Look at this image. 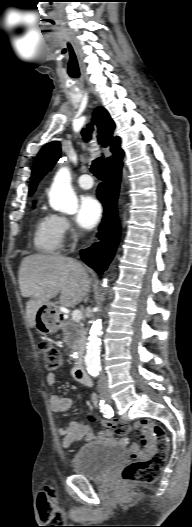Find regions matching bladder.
<instances>
[{
	"instance_id": "bladder-1",
	"label": "bladder",
	"mask_w": 192,
	"mask_h": 527,
	"mask_svg": "<svg viewBox=\"0 0 192 527\" xmlns=\"http://www.w3.org/2000/svg\"><path fill=\"white\" fill-rule=\"evenodd\" d=\"M126 460L125 451L115 445L93 442L72 458L73 471L89 480H101Z\"/></svg>"
}]
</instances>
